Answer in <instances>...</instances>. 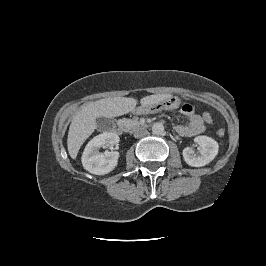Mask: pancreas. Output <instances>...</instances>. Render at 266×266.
I'll list each match as a JSON object with an SVG mask.
<instances>
[{"label":"pancreas","instance_id":"1","mask_svg":"<svg viewBox=\"0 0 266 266\" xmlns=\"http://www.w3.org/2000/svg\"><path fill=\"white\" fill-rule=\"evenodd\" d=\"M130 123H131L133 128H135L139 124V122L137 120H131Z\"/></svg>","mask_w":266,"mask_h":266}]
</instances>
